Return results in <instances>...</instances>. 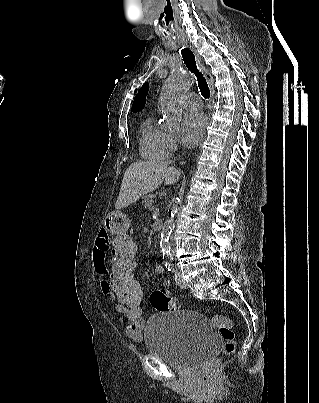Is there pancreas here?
Wrapping results in <instances>:
<instances>
[{"label": "pancreas", "mask_w": 319, "mask_h": 403, "mask_svg": "<svg viewBox=\"0 0 319 403\" xmlns=\"http://www.w3.org/2000/svg\"><path fill=\"white\" fill-rule=\"evenodd\" d=\"M156 198L155 194H147L145 196H143V205L145 208H150L152 206V203L154 201V199Z\"/></svg>", "instance_id": "cf45deb5"}]
</instances>
